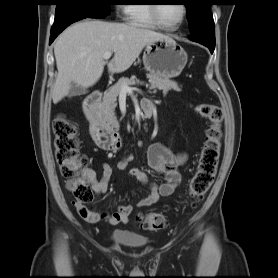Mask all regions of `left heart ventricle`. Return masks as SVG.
<instances>
[{"label": "left heart ventricle", "instance_id": "left-heart-ventricle-1", "mask_svg": "<svg viewBox=\"0 0 278 278\" xmlns=\"http://www.w3.org/2000/svg\"><path fill=\"white\" fill-rule=\"evenodd\" d=\"M158 16L166 25H175L182 16V6L177 3L159 5Z\"/></svg>", "mask_w": 278, "mask_h": 278}]
</instances>
